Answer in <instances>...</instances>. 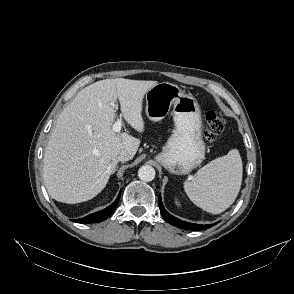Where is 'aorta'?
<instances>
[{
  "label": "aorta",
  "mask_w": 294,
  "mask_h": 294,
  "mask_svg": "<svg viewBox=\"0 0 294 294\" xmlns=\"http://www.w3.org/2000/svg\"><path fill=\"white\" fill-rule=\"evenodd\" d=\"M155 169L150 165H143L138 170V177L144 182H150L155 178Z\"/></svg>",
  "instance_id": "762f6f07"
}]
</instances>
